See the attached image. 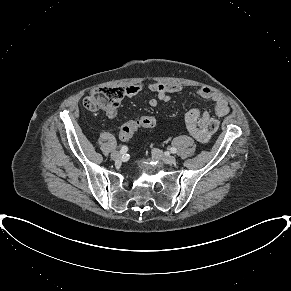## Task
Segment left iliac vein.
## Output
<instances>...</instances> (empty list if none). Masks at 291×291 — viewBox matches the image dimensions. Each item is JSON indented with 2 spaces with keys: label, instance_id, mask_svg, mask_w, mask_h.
<instances>
[{
  "label": "left iliac vein",
  "instance_id": "1",
  "mask_svg": "<svg viewBox=\"0 0 291 291\" xmlns=\"http://www.w3.org/2000/svg\"><path fill=\"white\" fill-rule=\"evenodd\" d=\"M152 156L154 159L159 160V161L166 163V164L176 163V158L174 156L167 155L163 151H161L160 149H157V148H154L152 150Z\"/></svg>",
  "mask_w": 291,
  "mask_h": 291
}]
</instances>
